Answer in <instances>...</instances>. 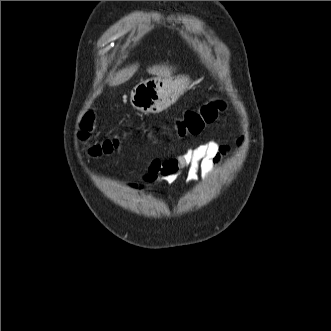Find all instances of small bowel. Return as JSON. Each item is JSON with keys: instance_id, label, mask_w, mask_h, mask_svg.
<instances>
[{"instance_id": "1", "label": "small bowel", "mask_w": 331, "mask_h": 331, "mask_svg": "<svg viewBox=\"0 0 331 331\" xmlns=\"http://www.w3.org/2000/svg\"><path fill=\"white\" fill-rule=\"evenodd\" d=\"M242 139L238 141L241 145ZM232 154L229 145L218 144L209 141L189 148L184 153L176 155L168 160H152L149 162L146 171L141 176L140 183H130L129 186L136 191L150 190L155 184L169 185L186 171L188 184L197 179H208L215 173L223 158Z\"/></svg>"}]
</instances>
